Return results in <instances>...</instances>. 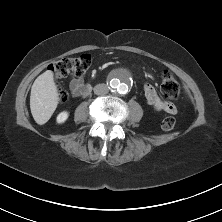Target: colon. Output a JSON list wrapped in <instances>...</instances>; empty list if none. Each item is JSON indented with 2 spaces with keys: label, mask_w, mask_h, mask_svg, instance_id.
<instances>
[{
  "label": "colon",
  "mask_w": 222,
  "mask_h": 222,
  "mask_svg": "<svg viewBox=\"0 0 222 222\" xmlns=\"http://www.w3.org/2000/svg\"><path fill=\"white\" fill-rule=\"evenodd\" d=\"M92 64V58L89 54H82L78 57L61 58L49 65V70L55 78L61 79L70 75H84ZM161 91L165 98L174 99L180 93V86L176 78L170 72H164L161 81ZM58 98L61 102L66 100V92L59 90ZM176 120L172 116H168L162 121L164 130H171L175 127Z\"/></svg>",
  "instance_id": "colon-1"
}]
</instances>
